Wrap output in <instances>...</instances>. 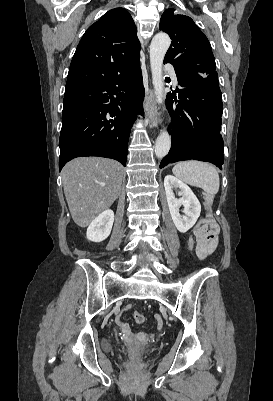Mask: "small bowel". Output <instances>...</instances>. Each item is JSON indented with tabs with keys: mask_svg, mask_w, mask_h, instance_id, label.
I'll list each match as a JSON object with an SVG mask.
<instances>
[{
	"mask_svg": "<svg viewBox=\"0 0 273 401\" xmlns=\"http://www.w3.org/2000/svg\"><path fill=\"white\" fill-rule=\"evenodd\" d=\"M194 235L198 236L196 229H194ZM215 244H216V241H198V237H197L196 252H197L198 257L201 258V259H205L213 251V249L215 248ZM193 246H194V241H193L192 236H190L189 239H188V247H189V249H192ZM128 309H129V307H123L122 311L123 312H127ZM153 316L155 318H158L160 316V313L158 311H155L153 313ZM135 320L139 321V319H135ZM142 321H144V319ZM156 323H157L156 327L160 328L161 324L163 323V320L161 318H158L156 320ZM124 326H127V327H123L122 328V337L123 338H129L130 337V332H129L130 328H129V326L127 324H124ZM135 337L138 340H142L143 338H148L149 337V332L148 331H143L142 333L136 334Z\"/></svg>",
	"mask_w": 273,
	"mask_h": 401,
	"instance_id": "1",
	"label": "small bowel"
}]
</instances>
